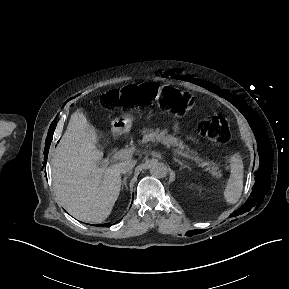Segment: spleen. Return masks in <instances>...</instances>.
<instances>
[{"mask_svg": "<svg viewBox=\"0 0 289 289\" xmlns=\"http://www.w3.org/2000/svg\"><path fill=\"white\" fill-rule=\"evenodd\" d=\"M230 176L226 182L223 198L228 204H235L241 197L243 189L244 165L241 156L235 153L230 158Z\"/></svg>", "mask_w": 289, "mask_h": 289, "instance_id": "3e777b00", "label": "spleen"}]
</instances>
